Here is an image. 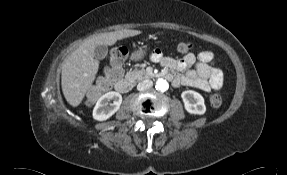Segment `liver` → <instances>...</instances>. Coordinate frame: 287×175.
Returning a JSON list of instances; mask_svg holds the SVG:
<instances>
[{
	"instance_id": "obj_1",
	"label": "liver",
	"mask_w": 287,
	"mask_h": 175,
	"mask_svg": "<svg viewBox=\"0 0 287 175\" xmlns=\"http://www.w3.org/2000/svg\"><path fill=\"white\" fill-rule=\"evenodd\" d=\"M141 31L123 29L115 32L102 33L86 39L74 50L62 67L61 85L66 101L77 107L86 92L92 87L99 69V61L95 59L98 46H112L117 40L133 37Z\"/></svg>"
}]
</instances>
